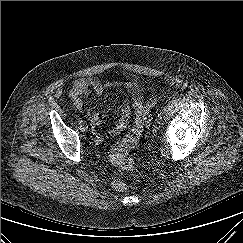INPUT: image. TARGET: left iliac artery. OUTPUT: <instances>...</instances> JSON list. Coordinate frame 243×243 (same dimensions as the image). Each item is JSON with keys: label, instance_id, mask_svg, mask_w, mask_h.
Wrapping results in <instances>:
<instances>
[{"label": "left iliac artery", "instance_id": "obj_1", "mask_svg": "<svg viewBox=\"0 0 243 243\" xmlns=\"http://www.w3.org/2000/svg\"><path fill=\"white\" fill-rule=\"evenodd\" d=\"M158 117H160V118H161V112L158 114Z\"/></svg>", "mask_w": 243, "mask_h": 243}]
</instances>
